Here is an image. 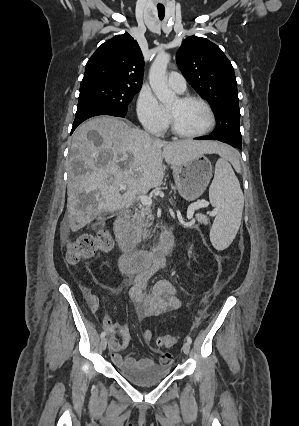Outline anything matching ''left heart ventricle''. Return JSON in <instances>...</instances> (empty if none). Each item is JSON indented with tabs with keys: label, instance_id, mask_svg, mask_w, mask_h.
Listing matches in <instances>:
<instances>
[{
	"label": "left heart ventricle",
	"instance_id": "obj_1",
	"mask_svg": "<svg viewBox=\"0 0 299 426\" xmlns=\"http://www.w3.org/2000/svg\"><path fill=\"white\" fill-rule=\"evenodd\" d=\"M168 110L174 114L178 127L184 132L198 133L209 124V115L198 102L181 103L176 99Z\"/></svg>",
	"mask_w": 299,
	"mask_h": 426
}]
</instances>
